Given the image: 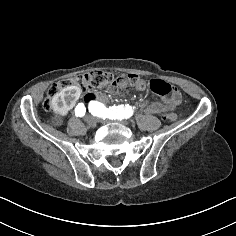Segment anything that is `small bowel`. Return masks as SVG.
<instances>
[{
  "mask_svg": "<svg viewBox=\"0 0 236 236\" xmlns=\"http://www.w3.org/2000/svg\"><path fill=\"white\" fill-rule=\"evenodd\" d=\"M179 99L170 98L163 102H149L146 107V111L150 114H159L167 110H173Z\"/></svg>",
  "mask_w": 236,
  "mask_h": 236,
  "instance_id": "c3829d8e",
  "label": "small bowel"
}]
</instances>
